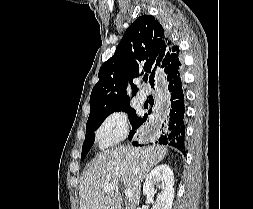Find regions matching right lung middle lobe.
Here are the masks:
<instances>
[{
    "label": "right lung middle lobe",
    "instance_id": "dd1d6c3e",
    "mask_svg": "<svg viewBox=\"0 0 253 209\" xmlns=\"http://www.w3.org/2000/svg\"><path fill=\"white\" fill-rule=\"evenodd\" d=\"M117 111H123L128 113L132 125L139 121V118L135 114V110L132 109L130 106L119 107L114 110L89 117L86 123V138L82 147L81 159H84L86 157L87 153L89 152L90 148L94 143L95 130L102 124V122L106 119L107 116Z\"/></svg>",
    "mask_w": 253,
    "mask_h": 209
}]
</instances>
